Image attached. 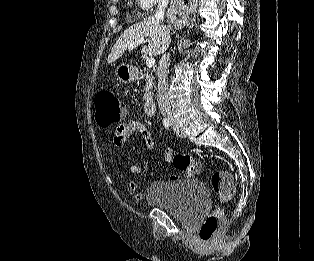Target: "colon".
Returning a JSON list of instances; mask_svg holds the SVG:
<instances>
[{
  "label": "colon",
  "mask_w": 314,
  "mask_h": 261,
  "mask_svg": "<svg viewBox=\"0 0 314 261\" xmlns=\"http://www.w3.org/2000/svg\"><path fill=\"white\" fill-rule=\"evenodd\" d=\"M124 116V104L111 91L102 90L96 94L95 121L99 127L105 128L120 123ZM167 161L182 172L185 177L198 175L202 169L200 163L187 154L171 155ZM211 186L223 202L230 200L236 192L235 181L231 174L225 170H217L212 174ZM223 219V209L216 207L201 224L199 228L200 238L204 242L214 241L219 234Z\"/></svg>",
  "instance_id": "5ec220e1"
}]
</instances>
